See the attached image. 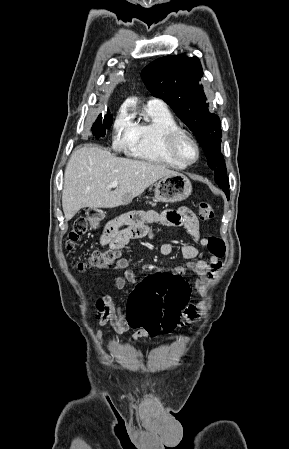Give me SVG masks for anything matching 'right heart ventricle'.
<instances>
[{
	"mask_svg": "<svg viewBox=\"0 0 289 449\" xmlns=\"http://www.w3.org/2000/svg\"><path fill=\"white\" fill-rule=\"evenodd\" d=\"M177 128L179 126L166 106L148 104L142 119L134 123L135 136L129 148L131 154L143 160L184 169L185 165L169 155L165 144L167 133Z\"/></svg>",
	"mask_w": 289,
	"mask_h": 449,
	"instance_id": "e07e8e85",
	"label": "right heart ventricle"
}]
</instances>
